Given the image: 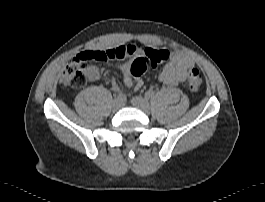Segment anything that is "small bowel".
Segmentation results:
<instances>
[{
  "instance_id": "small-bowel-1",
  "label": "small bowel",
  "mask_w": 265,
  "mask_h": 202,
  "mask_svg": "<svg viewBox=\"0 0 265 202\" xmlns=\"http://www.w3.org/2000/svg\"><path fill=\"white\" fill-rule=\"evenodd\" d=\"M116 51H121L124 54L122 59H117V67H119L123 73V81L127 87L133 88L134 91H138L142 88L143 82L141 79L136 78L131 73L132 58L139 51L130 44L122 45L117 48H113ZM108 49L96 50L105 52ZM127 59L123 64H120L121 60ZM169 62L164 67L160 74V81L167 86H175L183 83L187 77L189 69L195 66L193 57L181 50H174L169 55ZM75 62L80 63V59L76 55ZM86 77L90 81H96L100 78L99 69L92 64H86L83 68ZM113 91H119V86L116 83L112 84Z\"/></svg>"
}]
</instances>
